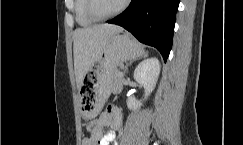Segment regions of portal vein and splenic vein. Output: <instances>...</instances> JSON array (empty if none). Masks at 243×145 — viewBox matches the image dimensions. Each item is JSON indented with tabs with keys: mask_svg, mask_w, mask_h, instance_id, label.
<instances>
[{
	"mask_svg": "<svg viewBox=\"0 0 243 145\" xmlns=\"http://www.w3.org/2000/svg\"><path fill=\"white\" fill-rule=\"evenodd\" d=\"M120 76H122V77H123V76H124V74H123V73H120Z\"/></svg>",
	"mask_w": 243,
	"mask_h": 145,
	"instance_id": "portal-vein-and-splenic-vein-1",
	"label": "portal vein and splenic vein"
}]
</instances>
